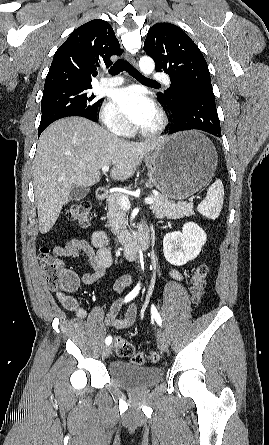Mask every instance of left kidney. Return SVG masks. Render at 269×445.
I'll list each match as a JSON object with an SVG mask.
<instances>
[{
    "label": "left kidney",
    "mask_w": 269,
    "mask_h": 445,
    "mask_svg": "<svg viewBox=\"0 0 269 445\" xmlns=\"http://www.w3.org/2000/svg\"><path fill=\"white\" fill-rule=\"evenodd\" d=\"M207 236L196 223L188 222L182 232L166 234L163 239L165 259L175 266L194 260L205 244Z\"/></svg>",
    "instance_id": "1"
}]
</instances>
